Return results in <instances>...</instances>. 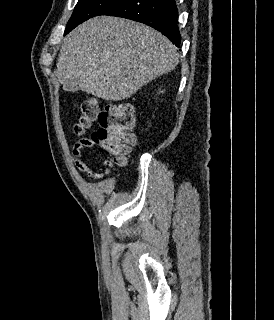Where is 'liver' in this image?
Wrapping results in <instances>:
<instances>
[{"label": "liver", "mask_w": 274, "mask_h": 320, "mask_svg": "<svg viewBox=\"0 0 274 320\" xmlns=\"http://www.w3.org/2000/svg\"><path fill=\"white\" fill-rule=\"evenodd\" d=\"M178 62L177 48L153 28L97 16L64 38L56 74L65 92L83 90L118 102L168 74Z\"/></svg>", "instance_id": "1"}]
</instances>
